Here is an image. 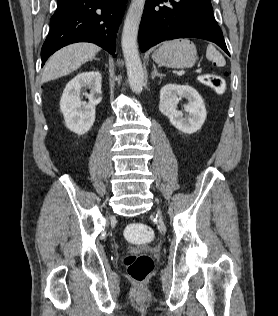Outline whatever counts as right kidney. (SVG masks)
Instances as JSON below:
<instances>
[{
    "label": "right kidney",
    "instance_id": "right-kidney-1",
    "mask_svg": "<svg viewBox=\"0 0 278 316\" xmlns=\"http://www.w3.org/2000/svg\"><path fill=\"white\" fill-rule=\"evenodd\" d=\"M101 81L99 71L82 72L69 81L63 91L60 109L65 125L78 135L88 132L95 122V107L102 100ZM83 88L90 89L89 94L83 93L88 102L81 101Z\"/></svg>",
    "mask_w": 278,
    "mask_h": 316
}]
</instances>
